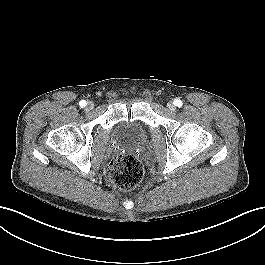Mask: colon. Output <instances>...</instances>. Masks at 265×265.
Instances as JSON below:
<instances>
[{
  "label": "colon",
  "mask_w": 265,
  "mask_h": 265,
  "mask_svg": "<svg viewBox=\"0 0 265 265\" xmlns=\"http://www.w3.org/2000/svg\"><path fill=\"white\" fill-rule=\"evenodd\" d=\"M108 175L116 187L129 190L141 181L143 166L133 154L120 153L110 162Z\"/></svg>",
  "instance_id": "1"
}]
</instances>
